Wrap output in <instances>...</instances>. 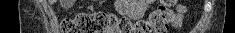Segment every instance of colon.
<instances>
[{
	"mask_svg": "<svg viewBox=\"0 0 235 33\" xmlns=\"http://www.w3.org/2000/svg\"><path fill=\"white\" fill-rule=\"evenodd\" d=\"M175 3L163 0L147 20L136 23L103 11L80 13L63 20L62 30L64 33H166L174 18L171 7Z\"/></svg>",
	"mask_w": 235,
	"mask_h": 33,
	"instance_id": "colon-1",
	"label": "colon"
}]
</instances>
